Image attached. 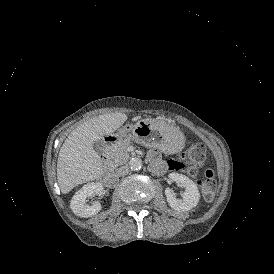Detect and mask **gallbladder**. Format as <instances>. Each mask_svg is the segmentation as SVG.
<instances>
[{
	"label": "gallbladder",
	"instance_id": "bac80fb5",
	"mask_svg": "<svg viewBox=\"0 0 274 274\" xmlns=\"http://www.w3.org/2000/svg\"><path fill=\"white\" fill-rule=\"evenodd\" d=\"M92 148L95 152L97 153H102L103 152V149H104V142L102 139H97L93 145H92Z\"/></svg>",
	"mask_w": 274,
	"mask_h": 274
}]
</instances>
